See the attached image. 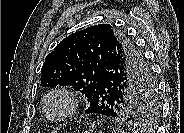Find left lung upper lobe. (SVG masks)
I'll list each match as a JSON object with an SVG mask.
<instances>
[{
	"instance_id": "5c2ea615",
	"label": "left lung upper lobe",
	"mask_w": 184,
	"mask_h": 133,
	"mask_svg": "<svg viewBox=\"0 0 184 133\" xmlns=\"http://www.w3.org/2000/svg\"><path fill=\"white\" fill-rule=\"evenodd\" d=\"M108 56L122 66L126 88L130 90L119 119L148 125L159 111L157 87L150 66L128 37L110 24L91 26L64 38L46 56L40 85L50 88L71 85L90 102L101 81L102 63ZM141 81L150 84L152 95L143 92Z\"/></svg>"
}]
</instances>
